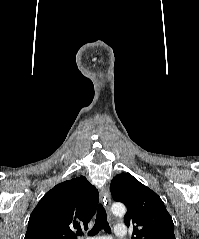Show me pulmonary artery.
<instances>
[{"instance_id": "1", "label": "pulmonary artery", "mask_w": 199, "mask_h": 239, "mask_svg": "<svg viewBox=\"0 0 199 239\" xmlns=\"http://www.w3.org/2000/svg\"><path fill=\"white\" fill-rule=\"evenodd\" d=\"M114 232L117 238L124 239L127 236V229L125 225L116 224L114 226ZM91 239H112L111 237H91Z\"/></svg>"}]
</instances>
